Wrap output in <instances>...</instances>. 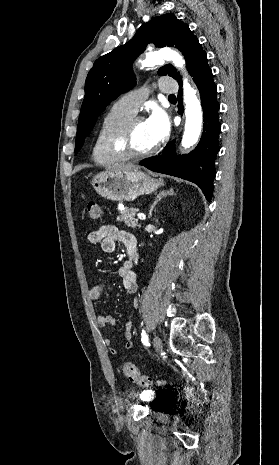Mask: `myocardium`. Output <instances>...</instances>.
<instances>
[{"instance_id": "obj_1", "label": "myocardium", "mask_w": 279, "mask_h": 465, "mask_svg": "<svg viewBox=\"0 0 279 465\" xmlns=\"http://www.w3.org/2000/svg\"><path fill=\"white\" fill-rule=\"evenodd\" d=\"M141 121H143L142 117L132 116L110 133L106 142V149L110 155L119 159H140L152 155L157 150L156 143L142 152H134L128 148L130 132L134 125Z\"/></svg>"}]
</instances>
